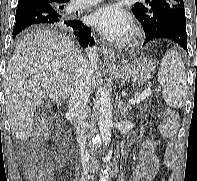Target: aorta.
<instances>
[{
	"instance_id": "obj_1",
	"label": "aorta",
	"mask_w": 197,
	"mask_h": 181,
	"mask_svg": "<svg viewBox=\"0 0 197 181\" xmlns=\"http://www.w3.org/2000/svg\"><path fill=\"white\" fill-rule=\"evenodd\" d=\"M112 90L109 84H105L100 91L99 95V130L102 140L105 145H108L111 141V126H112V100H111ZM109 167H107L100 181H108L109 178Z\"/></svg>"
}]
</instances>
